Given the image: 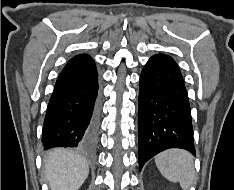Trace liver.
<instances>
[{
  "label": "liver",
  "mask_w": 234,
  "mask_h": 190,
  "mask_svg": "<svg viewBox=\"0 0 234 190\" xmlns=\"http://www.w3.org/2000/svg\"><path fill=\"white\" fill-rule=\"evenodd\" d=\"M88 174L86 160L71 151L55 149L46 158L45 175L51 190H78Z\"/></svg>",
  "instance_id": "liver-1"
}]
</instances>
